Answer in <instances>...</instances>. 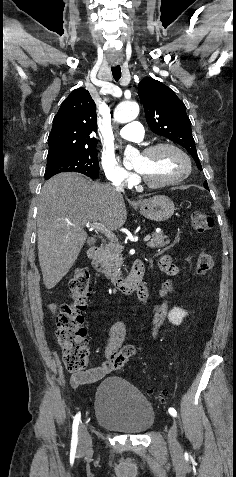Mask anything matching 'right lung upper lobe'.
I'll return each mask as SVG.
<instances>
[{"label": "right lung upper lobe", "mask_w": 236, "mask_h": 477, "mask_svg": "<svg viewBox=\"0 0 236 477\" xmlns=\"http://www.w3.org/2000/svg\"><path fill=\"white\" fill-rule=\"evenodd\" d=\"M96 104L85 89H75L63 101L48 137L47 160L75 153L97 144L90 134L96 132Z\"/></svg>", "instance_id": "obj_1"}]
</instances>
